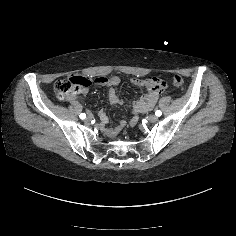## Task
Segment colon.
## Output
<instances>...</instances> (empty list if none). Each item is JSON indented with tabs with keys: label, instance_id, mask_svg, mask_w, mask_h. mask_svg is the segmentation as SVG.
Wrapping results in <instances>:
<instances>
[{
	"label": "colon",
	"instance_id": "colon-1",
	"mask_svg": "<svg viewBox=\"0 0 236 236\" xmlns=\"http://www.w3.org/2000/svg\"><path fill=\"white\" fill-rule=\"evenodd\" d=\"M156 82L159 80L156 79ZM173 86L182 89L184 87V80L180 75H174L172 78ZM90 80L82 76H73L69 78L59 79L54 84V92L58 99L67 100L75 96L90 86ZM158 85L160 83H157Z\"/></svg>",
	"mask_w": 236,
	"mask_h": 236
}]
</instances>
